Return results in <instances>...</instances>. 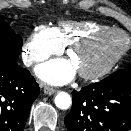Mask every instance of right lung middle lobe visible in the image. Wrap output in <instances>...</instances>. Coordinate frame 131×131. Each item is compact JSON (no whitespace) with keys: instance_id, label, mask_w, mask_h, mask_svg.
Instances as JSON below:
<instances>
[{"instance_id":"1","label":"right lung middle lobe","mask_w":131,"mask_h":131,"mask_svg":"<svg viewBox=\"0 0 131 131\" xmlns=\"http://www.w3.org/2000/svg\"><path fill=\"white\" fill-rule=\"evenodd\" d=\"M21 48V36L16 34L0 15V64L17 62Z\"/></svg>"}]
</instances>
